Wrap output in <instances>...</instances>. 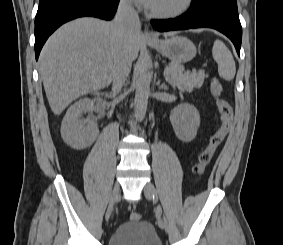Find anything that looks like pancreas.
Here are the masks:
<instances>
[{
  "mask_svg": "<svg viewBox=\"0 0 283 245\" xmlns=\"http://www.w3.org/2000/svg\"><path fill=\"white\" fill-rule=\"evenodd\" d=\"M165 70L167 81L181 91H193L195 88H200L208 77L204 70L185 71L184 66L174 62L170 63Z\"/></svg>",
  "mask_w": 283,
  "mask_h": 245,
  "instance_id": "cf45deb5",
  "label": "pancreas"
}]
</instances>
